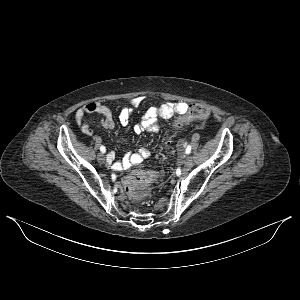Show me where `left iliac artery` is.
<instances>
[{"instance_id": "44dca946", "label": "left iliac artery", "mask_w": 300, "mask_h": 300, "mask_svg": "<svg viewBox=\"0 0 300 300\" xmlns=\"http://www.w3.org/2000/svg\"><path fill=\"white\" fill-rule=\"evenodd\" d=\"M190 152H191V146L188 145V146L186 147L185 153H186V154H189Z\"/></svg>"}]
</instances>
